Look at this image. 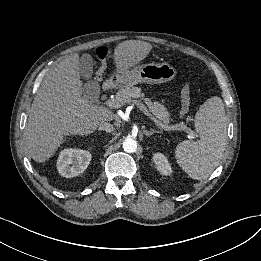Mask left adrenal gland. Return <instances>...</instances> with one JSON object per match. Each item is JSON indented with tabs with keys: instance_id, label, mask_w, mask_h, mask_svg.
<instances>
[{
	"instance_id": "a2214340",
	"label": "left adrenal gland",
	"mask_w": 261,
	"mask_h": 261,
	"mask_svg": "<svg viewBox=\"0 0 261 261\" xmlns=\"http://www.w3.org/2000/svg\"><path fill=\"white\" fill-rule=\"evenodd\" d=\"M154 133H161L160 131L158 130H154V129H150L149 131H144V134L147 136V137H150L151 135H153Z\"/></svg>"
}]
</instances>
